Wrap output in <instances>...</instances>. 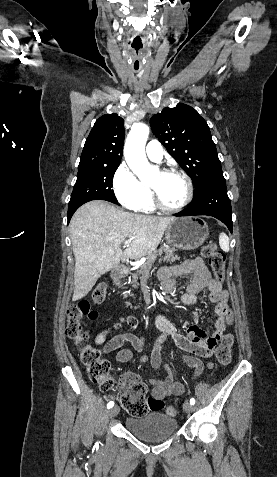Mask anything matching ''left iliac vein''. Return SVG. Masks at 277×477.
<instances>
[{
  "label": "left iliac vein",
  "mask_w": 277,
  "mask_h": 477,
  "mask_svg": "<svg viewBox=\"0 0 277 477\" xmlns=\"http://www.w3.org/2000/svg\"><path fill=\"white\" fill-rule=\"evenodd\" d=\"M185 412L190 413L193 410V406L189 402H185L183 405Z\"/></svg>",
  "instance_id": "4c4485c4"
}]
</instances>
